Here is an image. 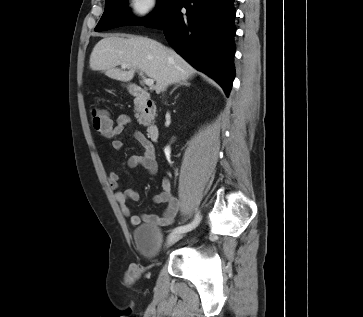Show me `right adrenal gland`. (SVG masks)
I'll list each match as a JSON object with an SVG mask.
<instances>
[{"label":"right adrenal gland","instance_id":"right-adrenal-gland-1","mask_svg":"<svg viewBox=\"0 0 363 317\" xmlns=\"http://www.w3.org/2000/svg\"><path fill=\"white\" fill-rule=\"evenodd\" d=\"M181 85H185V86H190V83L187 81V80H185V81H182V82H180L178 85H176L173 89H172V91L170 92V95H172V93L179 87V86H181Z\"/></svg>","mask_w":363,"mask_h":317}]
</instances>
